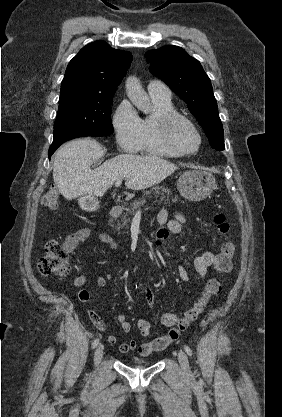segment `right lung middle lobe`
Segmentation results:
<instances>
[{
	"label": "right lung middle lobe",
	"mask_w": 282,
	"mask_h": 417,
	"mask_svg": "<svg viewBox=\"0 0 282 417\" xmlns=\"http://www.w3.org/2000/svg\"><path fill=\"white\" fill-rule=\"evenodd\" d=\"M113 95L90 91L60 93L54 138L71 133H84L88 136L112 134Z\"/></svg>",
	"instance_id": "right-lung-middle-lobe-1"
}]
</instances>
